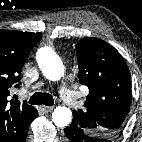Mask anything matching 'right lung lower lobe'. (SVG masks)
I'll use <instances>...</instances> for the list:
<instances>
[{
	"label": "right lung lower lobe",
	"instance_id": "right-lung-lower-lobe-1",
	"mask_svg": "<svg viewBox=\"0 0 142 142\" xmlns=\"http://www.w3.org/2000/svg\"><path fill=\"white\" fill-rule=\"evenodd\" d=\"M26 136H27V133H26V135L22 138L21 142H24V141H25Z\"/></svg>",
	"mask_w": 142,
	"mask_h": 142
}]
</instances>
